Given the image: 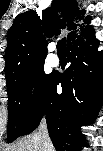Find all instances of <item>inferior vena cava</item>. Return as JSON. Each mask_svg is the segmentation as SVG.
I'll list each match as a JSON object with an SVG mask.
<instances>
[{
  "instance_id": "602c4592",
  "label": "inferior vena cava",
  "mask_w": 103,
  "mask_h": 151,
  "mask_svg": "<svg viewBox=\"0 0 103 151\" xmlns=\"http://www.w3.org/2000/svg\"><path fill=\"white\" fill-rule=\"evenodd\" d=\"M39 134L42 136V142H43V150L46 151V148L49 144H52L47 132V126L46 122L43 120L41 123V126L39 128Z\"/></svg>"
}]
</instances>
